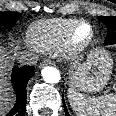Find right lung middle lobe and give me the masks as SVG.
<instances>
[{
	"mask_svg": "<svg viewBox=\"0 0 116 116\" xmlns=\"http://www.w3.org/2000/svg\"><path fill=\"white\" fill-rule=\"evenodd\" d=\"M18 12H0V26H7L11 28L19 19Z\"/></svg>",
	"mask_w": 116,
	"mask_h": 116,
	"instance_id": "obj_1",
	"label": "right lung middle lobe"
}]
</instances>
